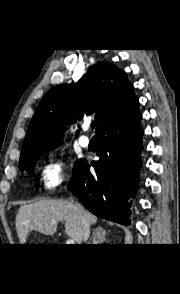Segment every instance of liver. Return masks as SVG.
Returning <instances> with one entry per match:
<instances>
[{
    "label": "liver",
    "mask_w": 180,
    "mask_h": 294,
    "mask_svg": "<svg viewBox=\"0 0 180 294\" xmlns=\"http://www.w3.org/2000/svg\"><path fill=\"white\" fill-rule=\"evenodd\" d=\"M90 224L97 222V217L83 209ZM65 221L67 235L76 241L83 242L82 217L77 205L62 199H43L19 208L15 226L20 244H25L30 231L53 235L57 224Z\"/></svg>",
    "instance_id": "6515ba94"
}]
</instances>
